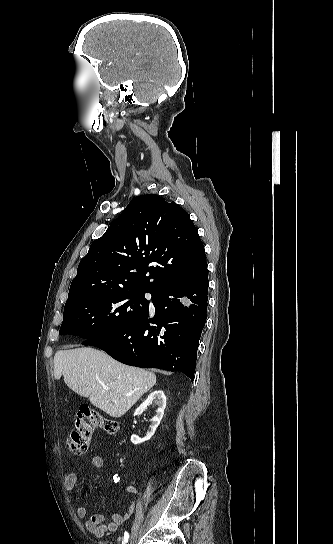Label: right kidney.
<instances>
[{"instance_id":"1","label":"right kidney","mask_w":333,"mask_h":544,"mask_svg":"<svg viewBox=\"0 0 333 544\" xmlns=\"http://www.w3.org/2000/svg\"><path fill=\"white\" fill-rule=\"evenodd\" d=\"M152 403L157 405L158 409L156 411V415L151 419L150 431L147 433L146 437L143 439L139 438L136 435H132L131 442L133 444H139L149 440L154 435L157 427L159 426L163 418L164 409L166 407V396L164 392L161 390H156L152 392L148 396V398L135 410L134 416L141 415L143 411Z\"/></svg>"}]
</instances>
